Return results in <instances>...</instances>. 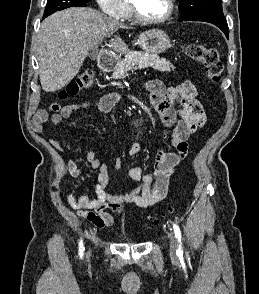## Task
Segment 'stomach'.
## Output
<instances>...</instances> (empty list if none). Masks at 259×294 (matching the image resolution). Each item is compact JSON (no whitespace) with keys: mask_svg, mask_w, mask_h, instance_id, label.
<instances>
[{"mask_svg":"<svg viewBox=\"0 0 259 294\" xmlns=\"http://www.w3.org/2000/svg\"><path fill=\"white\" fill-rule=\"evenodd\" d=\"M139 47L149 54H160L171 47L168 35L159 29H151L140 34L138 39Z\"/></svg>","mask_w":259,"mask_h":294,"instance_id":"0dacf381","label":"stomach"}]
</instances>
